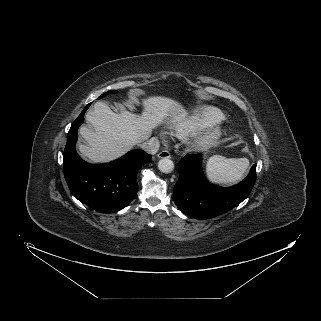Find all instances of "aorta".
<instances>
[{
	"mask_svg": "<svg viewBox=\"0 0 321 321\" xmlns=\"http://www.w3.org/2000/svg\"><path fill=\"white\" fill-rule=\"evenodd\" d=\"M158 169L162 173H171L174 170V163L169 158H162L158 162Z\"/></svg>",
	"mask_w": 321,
	"mask_h": 321,
	"instance_id": "obj_1",
	"label": "aorta"
}]
</instances>
